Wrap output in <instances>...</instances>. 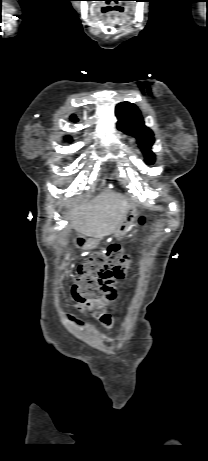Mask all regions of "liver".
<instances>
[{
	"mask_svg": "<svg viewBox=\"0 0 208 461\" xmlns=\"http://www.w3.org/2000/svg\"><path fill=\"white\" fill-rule=\"evenodd\" d=\"M128 210L129 204L124 196L103 192L91 202L71 208L68 219L78 233L100 240L121 227Z\"/></svg>",
	"mask_w": 208,
	"mask_h": 461,
	"instance_id": "6515ba94",
	"label": "liver"
}]
</instances>
